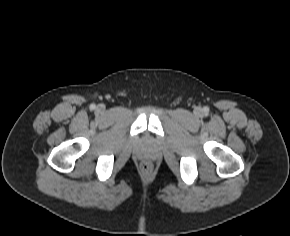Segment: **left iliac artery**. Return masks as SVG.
Masks as SVG:
<instances>
[{
    "instance_id": "obj_1",
    "label": "left iliac artery",
    "mask_w": 290,
    "mask_h": 236,
    "mask_svg": "<svg viewBox=\"0 0 290 236\" xmlns=\"http://www.w3.org/2000/svg\"><path fill=\"white\" fill-rule=\"evenodd\" d=\"M209 111V108L208 107H204V112H208Z\"/></svg>"
}]
</instances>
